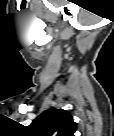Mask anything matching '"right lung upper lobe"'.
I'll list each match as a JSON object with an SVG mask.
<instances>
[{
  "instance_id": "obj_1",
  "label": "right lung upper lobe",
  "mask_w": 114,
  "mask_h": 136,
  "mask_svg": "<svg viewBox=\"0 0 114 136\" xmlns=\"http://www.w3.org/2000/svg\"><path fill=\"white\" fill-rule=\"evenodd\" d=\"M29 130L36 136H74L76 123L66 110L52 108L33 120Z\"/></svg>"
}]
</instances>
